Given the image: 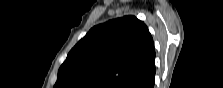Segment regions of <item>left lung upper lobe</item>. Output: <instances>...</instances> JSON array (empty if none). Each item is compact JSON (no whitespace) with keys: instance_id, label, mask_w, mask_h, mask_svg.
Listing matches in <instances>:
<instances>
[{"instance_id":"5c2ea615","label":"left lung upper lobe","mask_w":223,"mask_h":88,"mask_svg":"<svg viewBox=\"0 0 223 88\" xmlns=\"http://www.w3.org/2000/svg\"><path fill=\"white\" fill-rule=\"evenodd\" d=\"M146 25L125 16L94 26L69 52L55 88H131L154 65Z\"/></svg>"}]
</instances>
